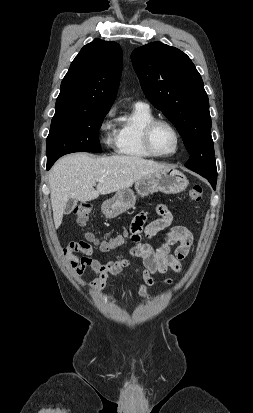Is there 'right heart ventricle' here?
I'll list each match as a JSON object with an SVG mask.
<instances>
[{
	"mask_svg": "<svg viewBox=\"0 0 253 413\" xmlns=\"http://www.w3.org/2000/svg\"><path fill=\"white\" fill-rule=\"evenodd\" d=\"M155 118L150 108L135 105L132 111L122 117L116 135V149L120 155L144 159L150 158L143 145L142 132L144 126Z\"/></svg>",
	"mask_w": 253,
	"mask_h": 413,
	"instance_id": "obj_1",
	"label": "right heart ventricle"
}]
</instances>
